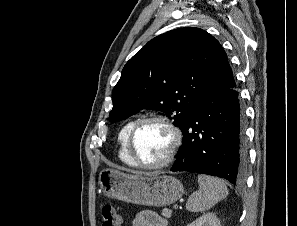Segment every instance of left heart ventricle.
<instances>
[{
  "label": "left heart ventricle",
  "instance_id": "obj_1",
  "mask_svg": "<svg viewBox=\"0 0 297 226\" xmlns=\"http://www.w3.org/2000/svg\"><path fill=\"white\" fill-rule=\"evenodd\" d=\"M172 142L170 131L161 123L149 122L140 127L134 139V151L140 161L152 164L161 161Z\"/></svg>",
  "mask_w": 297,
  "mask_h": 226
}]
</instances>
